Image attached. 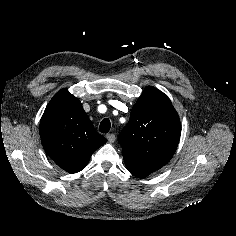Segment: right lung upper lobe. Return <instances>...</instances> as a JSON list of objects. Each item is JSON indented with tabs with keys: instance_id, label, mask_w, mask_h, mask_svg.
<instances>
[{
	"instance_id": "1",
	"label": "right lung upper lobe",
	"mask_w": 236,
	"mask_h": 236,
	"mask_svg": "<svg viewBox=\"0 0 236 236\" xmlns=\"http://www.w3.org/2000/svg\"><path fill=\"white\" fill-rule=\"evenodd\" d=\"M40 137L48 156L69 173L81 171L107 141L95 131L80 101L66 89L48 103L40 120Z\"/></svg>"
}]
</instances>
